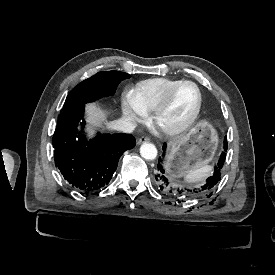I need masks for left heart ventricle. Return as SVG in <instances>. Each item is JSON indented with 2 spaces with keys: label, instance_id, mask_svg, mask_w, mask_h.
Here are the masks:
<instances>
[{
  "label": "left heart ventricle",
  "instance_id": "left-heart-ventricle-1",
  "mask_svg": "<svg viewBox=\"0 0 275 275\" xmlns=\"http://www.w3.org/2000/svg\"><path fill=\"white\" fill-rule=\"evenodd\" d=\"M197 103V92L193 85H180L174 92L168 109L160 116L161 128H171L182 124L192 113Z\"/></svg>",
  "mask_w": 275,
  "mask_h": 275
}]
</instances>
